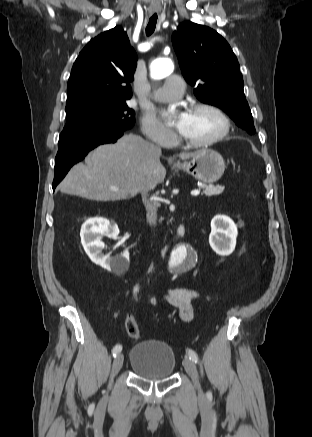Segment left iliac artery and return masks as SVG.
I'll return each instance as SVG.
<instances>
[{
  "label": "left iliac artery",
  "mask_w": 312,
  "mask_h": 437,
  "mask_svg": "<svg viewBox=\"0 0 312 437\" xmlns=\"http://www.w3.org/2000/svg\"><path fill=\"white\" fill-rule=\"evenodd\" d=\"M188 356H189V358H190L193 362H195V363L198 362V355H197V353H196L194 350L189 349V350H188Z\"/></svg>",
  "instance_id": "1"
}]
</instances>
